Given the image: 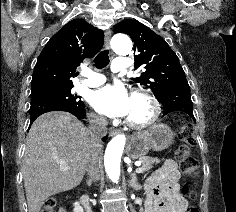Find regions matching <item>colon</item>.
<instances>
[{"mask_svg":"<svg viewBox=\"0 0 236 212\" xmlns=\"http://www.w3.org/2000/svg\"><path fill=\"white\" fill-rule=\"evenodd\" d=\"M179 139L181 141V145L176 151L175 158L179 163L180 169L183 174L187 176H194L198 171V160L192 153V150L196 146V141L191 124L185 123L182 126L179 134ZM183 194L190 198H195L196 196V192L188 183H185L183 186ZM55 208L56 201L52 198H49L45 201L41 212H55ZM188 212H199V210L196 206H190L188 208Z\"/></svg>","mask_w":236,"mask_h":212,"instance_id":"colon-1","label":"colon"}]
</instances>
